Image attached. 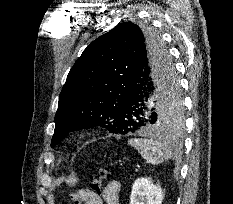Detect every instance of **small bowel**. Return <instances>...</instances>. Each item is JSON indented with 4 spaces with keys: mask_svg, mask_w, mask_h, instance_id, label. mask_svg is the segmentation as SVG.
<instances>
[{
    "mask_svg": "<svg viewBox=\"0 0 233 204\" xmlns=\"http://www.w3.org/2000/svg\"><path fill=\"white\" fill-rule=\"evenodd\" d=\"M78 192L81 196L78 204H120V183L118 181L107 184L98 197L92 196L87 189H81Z\"/></svg>",
    "mask_w": 233,
    "mask_h": 204,
    "instance_id": "c3829d8e",
    "label": "small bowel"
}]
</instances>
